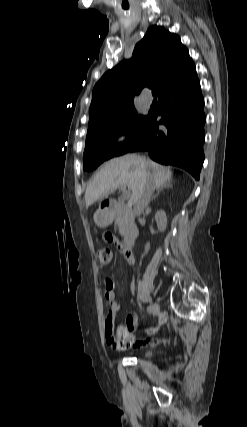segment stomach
<instances>
[{
    "label": "stomach",
    "instance_id": "obj_1",
    "mask_svg": "<svg viewBox=\"0 0 247 427\" xmlns=\"http://www.w3.org/2000/svg\"><path fill=\"white\" fill-rule=\"evenodd\" d=\"M113 220L112 214L106 209H99L94 214V221L99 227H106L111 224Z\"/></svg>",
    "mask_w": 247,
    "mask_h": 427
}]
</instances>
